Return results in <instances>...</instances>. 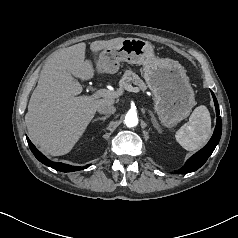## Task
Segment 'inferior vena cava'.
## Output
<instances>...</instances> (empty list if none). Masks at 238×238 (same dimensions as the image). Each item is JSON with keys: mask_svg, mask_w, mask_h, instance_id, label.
I'll list each match as a JSON object with an SVG mask.
<instances>
[{"mask_svg": "<svg viewBox=\"0 0 238 238\" xmlns=\"http://www.w3.org/2000/svg\"><path fill=\"white\" fill-rule=\"evenodd\" d=\"M97 111L100 113V114H114L116 109L114 106L112 105H100L98 106L97 108Z\"/></svg>", "mask_w": 238, "mask_h": 238, "instance_id": "602c4592", "label": "inferior vena cava"}]
</instances>
